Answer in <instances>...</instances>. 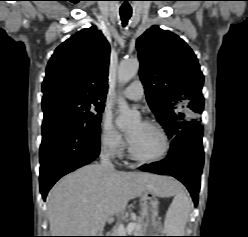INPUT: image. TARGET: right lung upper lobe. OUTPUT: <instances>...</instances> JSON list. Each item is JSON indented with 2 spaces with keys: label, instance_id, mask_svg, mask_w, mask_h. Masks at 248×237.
<instances>
[{
  "label": "right lung upper lobe",
  "instance_id": "cb5924a9",
  "mask_svg": "<svg viewBox=\"0 0 248 237\" xmlns=\"http://www.w3.org/2000/svg\"><path fill=\"white\" fill-rule=\"evenodd\" d=\"M109 57L110 45L95 26L71 36L48 62L42 102L61 96L105 101Z\"/></svg>",
  "mask_w": 248,
  "mask_h": 237
}]
</instances>
